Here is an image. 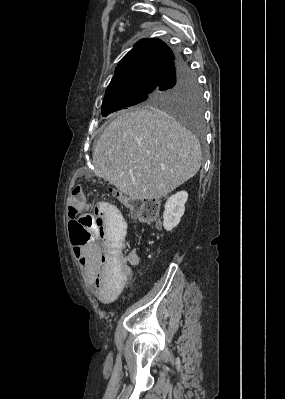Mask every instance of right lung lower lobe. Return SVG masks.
Wrapping results in <instances>:
<instances>
[{"instance_id":"obj_1","label":"right lung lower lobe","mask_w":285,"mask_h":399,"mask_svg":"<svg viewBox=\"0 0 285 399\" xmlns=\"http://www.w3.org/2000/svg\"><path fill=\"white\" fill-rule=\"evenodd\" d=\"M187 70H190L189 66L184 62L180 54H176L175 60L165 71L159 82L158 87H161L162 85L167 83H174L179 78H181Z\"/></svg>"}]
</instances>
